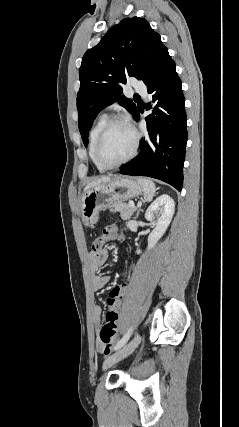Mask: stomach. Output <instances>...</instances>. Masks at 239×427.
<instances>
[{"mask_svg":"<svg viewBox=\"0 0 239 427\" xmlns=\"http://www.w3.org/2000/svg\"><path fill=\"white\" fill-rule=\"evenodd\" d=\"M142 193V186L134 179L117 177L109 183L92 187L84 192L81 203L82 219L88 224H96L99 213L116 202L130 200Z\"/></svg>","mask_w":239,"mask_h":427,"instance_id":"1","label":"stomach"}]
</instances>
